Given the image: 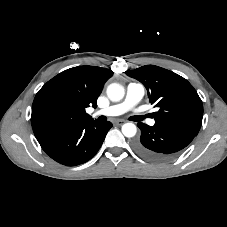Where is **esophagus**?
Returning <instances> with one entry per match:
<instances>
[{"instance_id":"obj_1","label":"esophagus","mask_w":227,"mask_h":227,"mask_svg":"<svg viewBox=\"0 0 227 227\" xmlns=\"http://www.w3.org/2000/svg\"><path fill=\"white\" fill-rule=\"evenodd\" d=\"M123 120H117L116 122H115V124H117V125H121V124H123Z\"/></svg>"}]
</instances>
